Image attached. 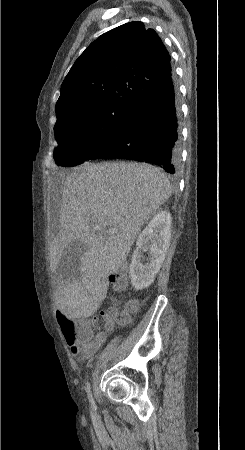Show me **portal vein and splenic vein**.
Returning <instances> with one entry per match:
<instances>
[{"instance_id": "18ae733b", "label": "portal vein and splenic vein", "mask_w": 245, "mask_h": 450, "mask_svg": "<svg viewBox=\"0 0 245 450\" xmlns=\"http://www.w3.org/2000/svg\"><path fill=\"white\" fill-rule=\"evenodd\" d=\"M93 228L95 231H103V228L97 224H93ZM108 234L113 235L118 232L117 228H110L106 231Z\"/></svg>"}]
</instances>
